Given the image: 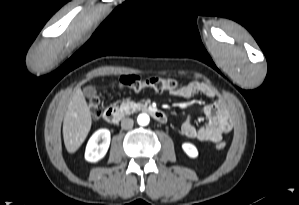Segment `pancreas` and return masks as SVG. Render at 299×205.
<instances>
[{
    "label": "pancreas",
    "instance_id": "cf45deb5",
    "mask_svg": "<svg viewBox=\"0 0 299 205\" xmlns=\"http://www.w3.org/2000/svg\"><path fill=\"white\" fill-rule=\"evenodd\" d=\"M143 107V104L136 103L131 100H125L120 105V109L125 111L127 114H130L132 112H135L136 110H140Z\"/></svg>",
    "mask_w": 299,
    "mask_h": 205
}]
</instances>
